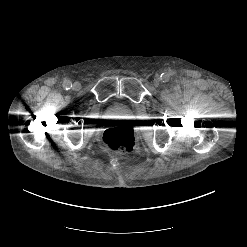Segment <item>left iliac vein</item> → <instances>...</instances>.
Segmentation results:
<instances>
[{
  "instance_id": "obj_1",
  "label": "left iliac vein",
  "mask_w": 247,
  "mask_h": 247,
  "mask_svg": "<svg viewBox=\"0 0 247 247\" xmlns=\"http://www.w3.org/2000/svg\"><path fill=\"white\" fill-rule=\"evenodd\" d=\"M160 81H161L160 77L159 76H155L153 83H154L155 86H158L160 84Z\"/></svg>"
}]
</instances>
